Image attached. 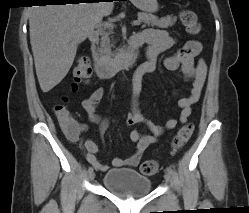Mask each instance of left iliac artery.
Wrapping results in <instances>:
<instances>
[{
    "mask_svg": "<svg viewBox=\"0 0 249 213\" xmlns=\"http://www.w3.org/2000/svg\"><path fill=\"white\" fill-rule=\"evenodd\" d=\"M166 170H167V172L170 173L171 175L174 174V171H173V169H172L171 167H167Z\"/></svg>",
    "mask_w": 249,
    "mask_h": 213,
    "instance_id": "obj_1",
    "label": "left iliac artery"
}]
</instances>
